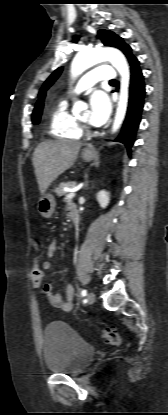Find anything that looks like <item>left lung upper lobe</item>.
<instances>
[{
  "instance_id": "5c2ea615",
  "label": "left lung upper lobe",
  "mask_w": 168,
  "mask_h": 415,
  "mask_svg": "<svg viewBox=\"0 0 168 415\" xmlns=\"http://www.w3.org/2000/svg\"><path fill=\"white\" fill-rule=\"evenodd\" d=\"M98 37L102 41L105 46L116 47L120 49L128 60L133 57L132 49L128 46L122 38L118 37L115 33L108 31V30H99ZM62 67L55 70L51 76L45 81L43 84L39 96H43L44 92L54 83V81L59 77L61 74Z\"/></svg>"
}]
</instances>
